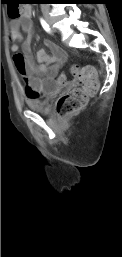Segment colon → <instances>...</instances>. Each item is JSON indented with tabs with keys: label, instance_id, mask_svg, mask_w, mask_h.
<instances>
[{
	"label": "colon",
	"instance_id": "colon-1",
	"mask_svg": "<svg viewBox=\"0 0 122 257\" xmlns=\"http://www.w3.org/2000/svg\"><path fill=\"white\" fill-rule=\"evenodd\" d=\"M6 10H9L11 18L20 16V5H6ZM16 67V64H14ZM69 70H64L63 74H57L55 79V90H65L70 87L71 77ZM72 76L79 82L80 88L73 89L64 93L57 101V113L62 117H70L77 114L84 108L88 97L94 94L99 86L97 74L92 67L78 66L71 67Z\"/></svg>",
	"mask_w": 122,
	"mask_h": 257
}]
</instances>
